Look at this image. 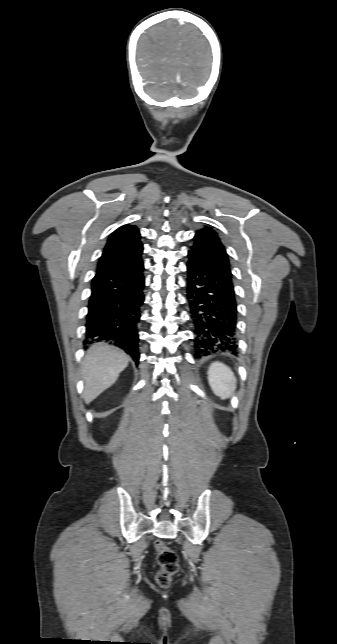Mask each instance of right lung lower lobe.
Masks as SVG:
<instances>
[{
	"label": "right lung lower lobe",
	"mask_w": 337,
	"mask_h": 644,
	"mask_svg": "<svg viewBox=\"0 0 337 644\" xmlns=\"http://www.w3.org/2000/svg\"><path fill=\"white\" fill-rule=\"evenodd\" d=\"M141 257L97 271L92 280L85 343L106 340L139 360L138 329L144 301Z\"/></svg>",
	"instance_id": "obj_1"
}]
</instances>
